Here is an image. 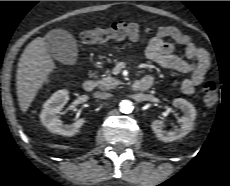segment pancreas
I'll return each instance as SVG.
<instances>
[{"mask_svg":"<svg viewBox=\"0 0 230 186\" xmlns=\"http://www.w3.org/2000/svg\"><path fill=\"white\" fill-rule=\"evenodd\" d=\"M119 84H120V81L110 75L97 81L98 87L103 91L114 89Z\"/></svg>","mask_w":230,"mask_h":186,"instance_id":"1","label":"pancreas"}]
</instances>
